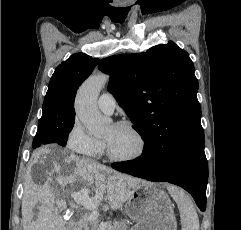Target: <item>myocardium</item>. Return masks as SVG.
Instances as JSON below:
<instances>
[{
	"label": "myocardium",
	"mask_w": 241,
	"mask_h": 230,
	"mask_svg": "<svg viewBox=\"0 0 241 230\" xmlns=\"http://www.w3.org/2000/svg\"><path fill=\"white\" fill-rule=\"evenodd\" d=\"M114 125L126 127L129 130H131L134 133V135L137 137V140L139 142V148H138L137 152L135 154L131 155V156L118 157V156H116L112 153L108 143L103 141V147H104V150H105V153H106L107 157L111 161L118 162V163H130V162H133V161H136V160L140 159L144 155V153L146 151V146H147L145 137L143 136L141 131L130 121H119V122H116Z\"/></svg>",
	"instance_id": "f54148a6"
}]
</instances>
